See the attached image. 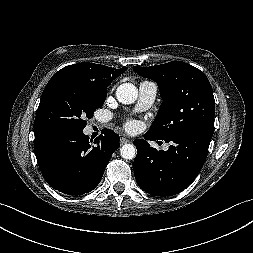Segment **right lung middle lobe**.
<instances>
[{"instance_id": "dd1d6c3e", "label": "right lung middle lobe", "mask_w": 253, "mask_h": 253, "mask_svg": "<svg viewBox=\"0 0 253 253\" xmlns=\"http://www.w3.org/2000/svg\"><path fill=\"white\" fill-rule=\"evenodd\" d=\"M107 89L85 80L57 76L46 85L36 112L34 133L63 129L83 131L86 118L100 108L106 99Z\"/></svg>"}]
</instances>
